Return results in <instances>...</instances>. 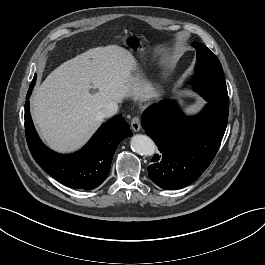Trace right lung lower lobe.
Listing matches in <instances>:
<instances>
[{"mask_svg":"<svg viewBox=\"0 0 265 265\" xmlns=\"http://www.w3.org/2000/svg\"><path fill=\"white\" fill-rule=\"evenodd\" d=\"M35 82L36 75L30 84L25 103L26 139L33 158L49 175L68 187L84 190L98 187L109 174L118 144L132 136L128 123L119 114L102 124L80 151L58 154L41 142L30 116L28 99Z\"/></svg>","mask_w":265,"mask_h":265,"instance_id":"obj_1","label":"right lung lower lobe"}]
</instances>
